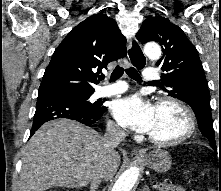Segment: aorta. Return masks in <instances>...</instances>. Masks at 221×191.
<instances>
[{
  "instance_id": "762f6f07",
  "label": "aorta",
  "mask_w": 221,
  "mask_h": 191,
  "mask_svg": "<svg viewBox=\"0 0 221 191\" xmlns=\"http://www.w3.org/2000/svg\"><path fill=\"white\" fill-rule=\"evenodd\" d=\"M144 52L152 61H157L161 56V48L156 43L146 44ZM139 173L138 167H129L119 176L111 191H131L139 177Z\"/></svg>"
}]
</instances>
